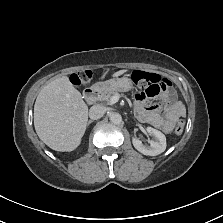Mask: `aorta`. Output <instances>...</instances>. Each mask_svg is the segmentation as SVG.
<instances>
[{
  "label": "aorta",
  "instance_id": "762f6f07",
  "mask_svg": "<svg viewBox=\"0 0 223 223\" xmlns=\"http://www.w3.org/2000/svg\"><path fill=\"white\" fill-rule=\"evenodd\" d=\"M110 121L114 124H120L122 122V117L119 113H112L110 115Z\"/></svg>",
  "mask_w": 223,
  "mask_h": 223
}]
</instances>
